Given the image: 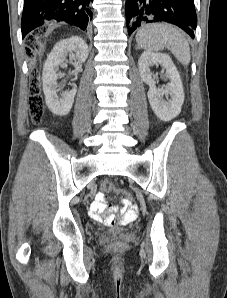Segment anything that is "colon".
Segmentation results:
<instances>
[{
  "mask_svg": "<svg viewBox=\"0 0 227 298\" xmlns=\"http://www.w3.org/2000/svg\"><path fill=\"white\" fill-rule=\"evenodd\" d=\"M40 49H42V44H39L34 36H29L27 39V45L25 46V53L28 56H32L35 51H38ZM28 106H29V112H30L32 121L36 124L40 123L44 113V104H43L42 96L40 94L38 79L35 75H33L29 85ZM102 189L106 193L107 192H112V194H120V192L124 193L126 196L124 205L126 207H131L132 205L134 207L138 206L137 202L133 203V198L130 193L126 191H121L120 189H116L115 186L110 181H104L102 184ZM105 221L108 225H117L123 222V220H120L113 215L107 216ZM108 248L114 252L123 251L126 248V243L122 241H112L108 245Z\"/></svg>",
  "mask_w": 227,
  "mask_h": 298,
  "instance_id": "5ec220e1",
  "label": "colon"
}]
</instances>
